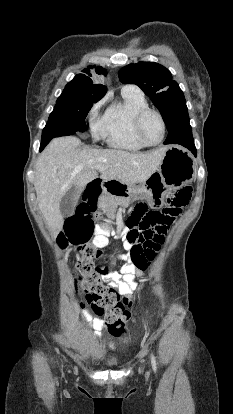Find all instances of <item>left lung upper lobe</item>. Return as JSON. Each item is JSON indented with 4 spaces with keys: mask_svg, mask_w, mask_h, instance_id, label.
Returning a JSON list of instances; mask_svg holds the SVG:
<instances>
[{
    "mask_svg": "<svg viewBox=\"0 0 233 414\" xmlns=\"http://www.w3.org/2000/svg\"><path fill=\"white\" fill-rule=\"evenodd\" d=\"M118 75L122 83L136 84L150 96L159 109L167 130L181 115L188 113L182 90L164 66L154 62H139L123 67Z\"/></svg>",
    "mask_w": 233,
    "mask_h": 414,
    "instance_id": "obj_1",
    "label": "left lung upper lobe"
}]
</instances>
